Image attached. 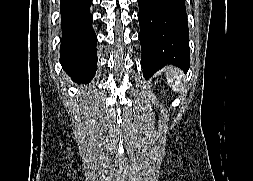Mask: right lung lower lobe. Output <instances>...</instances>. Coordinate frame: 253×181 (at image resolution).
<instances>
[{
  "label": "right lung lower lobe",
  "instance_id": "98d812e1",
  "mask_svg": "<svg viewBox=\"0 0 253 181\" xmlns=\"http://www.w3.org/2000/svg\"><path fill=\"white\" fill-rule=\"evenodd\" d=\"M92 0H61L63 69L77 81L89 82L97 70V37L89 8Z\"/></svg>",
  "mask_w": 253,
  "mask_h": 181
}]
</instances>
